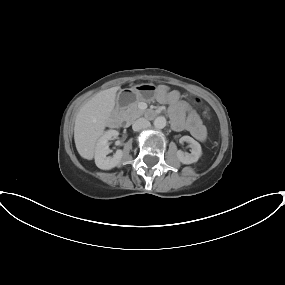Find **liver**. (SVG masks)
<instances>
[{"mask_svg": "<svg viewBox=\"0 0 285 285\" xmlns=\"http://www.w3.org/2000/svg\"><path fill=\"white\" fill-rule=\"evenodd\" d=\"M119 88L100 91L81 107L76 116L74 140L78 153L84 159H93L95 145L108 124Z\"/></svg>", "mask_w": 285, "mask_h": 285, "instance_id": "obj_1", "label": "liver"}]
</instances>
